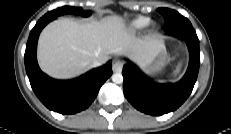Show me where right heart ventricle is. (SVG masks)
<instances>
[{"label":"right heart ventricle","instance_id":"obj_1","mask_svg":"<svg viewBox=\"0 0 231 134\" xmlns=\"http://www.w3.org/2000/svg\"><path fill=\"white\" fill-rule=\"evenodd\" d=\"M149 23L148 17H138L130 23V28L132 30H140L144 28Z\"/></svg>","mask_w":231,"mask_h":134}]
</instances>
